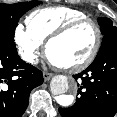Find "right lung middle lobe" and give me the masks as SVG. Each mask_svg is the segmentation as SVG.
Instances as JSON below:
<instances>
[{
    "label": "right lung middle lobe",
    "instance_id": "dd1d6c3e",
    "mask_svg": "<svg viewBox=\"0 0 117 117\" xmlns=\"http://www.w3.org/2000/svg\"><path fill=\"white\" fill-rule=\"evenodd\" d=\"M41 3V1H30L15 4H0V38L8 40L15 46L14 33L17 21L25 12Z\"/></svg>",
    "mask_w": 117,
    "mask_h": 117
}]
</instances>
